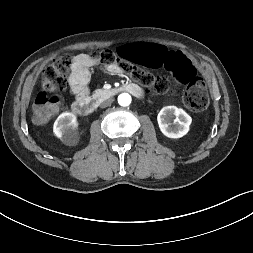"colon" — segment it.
<instances>
[{
	"mask_svg": "<svg viewBox=\"0 0 253 253\" xmlns=\"http://www.w3.org/2000/svg\"><path fill=\"white\" fill-rule=\"evenodd\" d=\"M88 56L105 66L117 65L121 71L129 74L138 83L155 94H164L173 90L171 81L153 74L133 64L163 71L174 76L177 82L185 85L184 105L194 112H200L208 106L209 99L204 81L196 75L195 69L186 56L177 49L170 48L156 40L142 43H123L116 51L111 49L92 50ZM73 59L63 55L54 59L42 74V91L37 95L33 111L38 124L47 123L59 110V92L67 86V78ZM133 63V64H132Z\"/></svg>",
	"mask_w": 253,
	"mask_h": 253,
	"instance_id": "obj_1",
	"label": "colon"
}]
</instances>
